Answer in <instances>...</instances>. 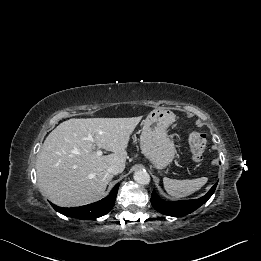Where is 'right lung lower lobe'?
I'll use <instances>...</instances> for the list:
<instances>
[{"label":"right lung lower lobe","instance_id":"obj_1","mask_svg":"<svg viewBox=\"0 0 261 261\" xmlns=\"http://www.w3.org/2000/svg\"><path fill=\"white\" fill-rule=\"evenodd\" d=\"M119 184H116L110 194L95 203L73 208H62L51 204L59 213L73 218L94 219L107 214L114 206Z\"/></svg>","mask_w":261,"mask_h":261}]
</instances>
